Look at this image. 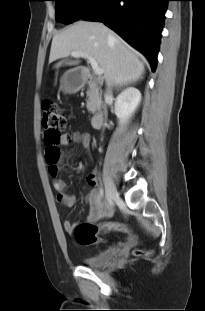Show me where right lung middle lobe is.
<instances>
[{"instance_id":"dd1d6c3e","label":"right lung middle lobe","mask_w":205,"mask_h":311,"mask_svg":"<svg viewBox=\"0 0 205 311\" xmlns=\"http://www.w3.org/2000/svg\"><path fill=\"white\" fill-rule=\"evenodd\" d=\"M55 1L56 20L70 24L81 20L93 12L102 0H53Z\"/></svg>"}]
</instances>
